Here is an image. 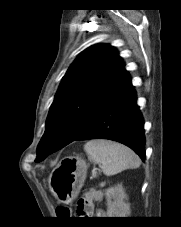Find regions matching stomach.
<instances>
[{
  "label": "stomach",
  "mask_w": 181,
  "mask_h": 227,
  "mask_svg": "<svg viewBox=\"0 0 181 227\" xmlns=\"http://www.w3.org/2000/svg\"><path fill=\"white\" fill-rule=\"evenodd\" d=\"M87 164L77 156L62 159L49 176V188L61 203L75 199L86 179Z\"/></svg>",
  "instance_id": "0dacf381"
}]
</instances>
